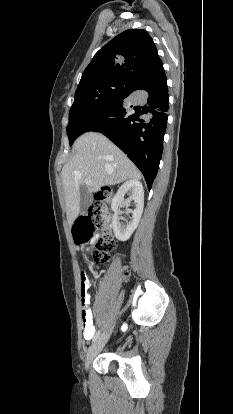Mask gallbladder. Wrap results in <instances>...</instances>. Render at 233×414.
<instances>
[{"label":"gallbladder","mask_w":233,"mask_h":414,"mask_svg":"<svg viewBox=\"0 0 233 414\" xmlns=\"http://www.w3.org/2000/svg\"><path fill=\"white\" fill-rule=\"evenodd\" d=\"M92 203V195L88 188L83 185L80 188V212H85Z\"/></svg>","instance_id":"1"}]
</instances>
